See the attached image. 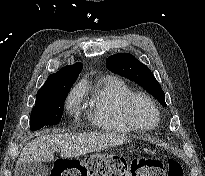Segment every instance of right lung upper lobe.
<instances>
[{"mask_svg": "<svg viewBox=\"0 0 205 176\" xmlns=\"http://www.w3.org/2000/svg\"><path fill=\"white\" fill-rule=\"evenodd\" d=\"M82 68V64L78 62L49 75L42 88L37 92V96L53 93L66 87L71 88Z\"/></svg>", "mask_w": 205, "mask_h": 176, "instance_id": "right-lung-upper-lobe-1", "label": "right lung upper lobe"}]
</instances>
